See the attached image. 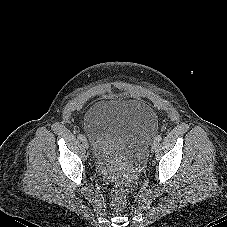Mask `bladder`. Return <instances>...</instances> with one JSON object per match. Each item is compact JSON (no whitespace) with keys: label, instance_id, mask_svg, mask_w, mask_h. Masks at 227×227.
Listing matches in <instances>:
<instances>
[{"label":"bladder","instance_id":"obj_1","mask_svg":"<svg viewBox=\"0 0 227 227\" xmlns=\"http://www.w3.org/2000/svg\"><path fill=\"white\" fill-rule=\"evenodd\" d=\"M158 127L156 113L134 99L103 100L85 113L83 129L94 143L98 162L123 157L142 160Z\"/></svg>","mask_w":227,"mask_h":227}]
</instances>
